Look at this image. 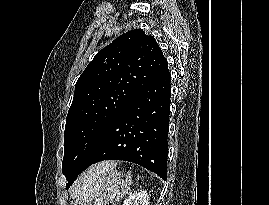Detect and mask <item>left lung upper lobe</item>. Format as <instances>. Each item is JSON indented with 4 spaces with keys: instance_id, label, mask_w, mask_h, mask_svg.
I'll return each instance as SVG.
<instances>
[{
    "instance_id": "5c2ea615",
    "label": "left lung upper lobe",
    "mask_w": 269,
    "mask_h": 205,
    "mask_svg": "<svg viewBox=\"0 0 269 205\" xmlns=\"http://www.w3.org/2000/svg\"><path fill=\"white\" fill-rule=\"evenodd\" d=\"M166 65L155 38L137 29L122 34L95 55L77 80L66 117L62 162L66 186L107 126Z\"/></svg>"
}]
</instances>
